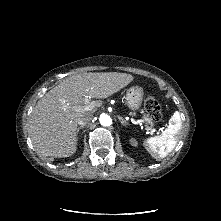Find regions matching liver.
<instances>
[{"label": "liver", "mask_w": 221, "mask_h": 221, "mask_svg": "<svg viewBox=\"0 0 221 221\" xmlns=\"http://www.w3.org/2000/svg\"><path fill=\"white\" fill-rule=\"evenodd\" d=\"M126 73L102 72L70 76L47 92L34 107L29 131L37 151L44 156L69 157L77 150L78 119L85 113L79 110L85 97L104 99L133 81Z\"/></svg>", "instance_id": "1"}]
</instances>
